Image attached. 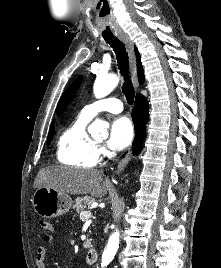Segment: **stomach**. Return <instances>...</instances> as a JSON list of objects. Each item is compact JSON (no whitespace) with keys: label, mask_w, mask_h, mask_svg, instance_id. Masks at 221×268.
<instances>
[{"label":"stomach","mask_w":221,"mask_h":268,"mask_svg":"<svg viewBox=\"0 0 221 268\" xmlns=\"http://www.w3.org/2000/svg\"><path fill=\"white\" fill-rule=\"evenodd\" d=\"M34 210L44 218H54L67 213L72 206L71 197L48 187H39L33 194Z\"/></svg>","instance_id":"stomach-1"}]
</instances>
